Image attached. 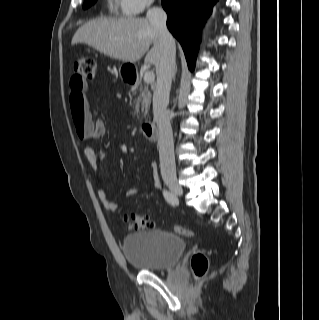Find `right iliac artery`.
Here are the masks:
<instances>
[{"instance_id":"right-iliac-artery-1","label":"right iliac artery","mask_w":319,"mask_h":320,"mask_svg":"<svg viewBox=\"0 0 319 320\" xmlns=\"http://www.w3.org/2000/svg\"><path fill=\"white\" fill-rule=\"evenodd\" d=\"M163 195H164V198H165V200L169 203V204H171V205H177V203H178V199H177V197L173 194V193H171L170 191H167V190H164L163 191Z\"/></svg>"}]
</instances>
